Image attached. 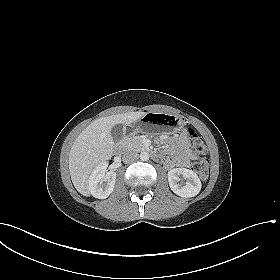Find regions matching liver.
<instances>
[{"instance_id":"6515ba94","label":"liver","mask_w":280,"mask_h":280,"mask_svg":"<svg viewBox=\"0 0 280 280\" xmlns=\"http://www.w3.org/2000/svg\"><path fill=\"white\" fill-rule=\"evenodd\" d=\"M142 111L102 117L91 122L76 138L69 153V171L76 190L89 196V177L100 163L113 156L111 129L116 124L131 125L143 117Z\"/></svg>"}]
</instances>
